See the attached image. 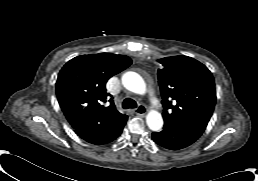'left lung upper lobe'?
Here are the masks:
<instances>
[{"label": "left lung upper lobe", "instance_id": "left-lung-upper-lobe-1", "mask_svg": "<svg viewBox=\"0 0 258 181\" xmlns=\"http://www.w3.org/2000/svg\"><path fill=\"white\" fill-rule=\"evenodd\" d=\"M158 80L165 123L182 125L202 132L213 113L216 93L214 78L208 68L187 56L158 60Z\"/></svg>", "mask_w": 258, "mask_h": 181}]
</instances>
